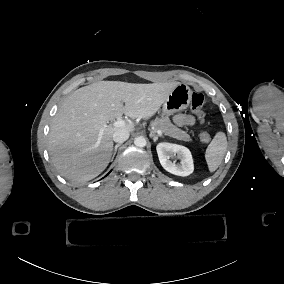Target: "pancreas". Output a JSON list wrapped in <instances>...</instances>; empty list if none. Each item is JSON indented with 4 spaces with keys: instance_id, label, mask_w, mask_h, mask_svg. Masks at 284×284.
<instances>
[{
    "instance_id": "pancreas-1",
    "label": "pancreas",
    "mask_w": 284,
    "mask_h": 284,
    "mask_svg": "<svg viewBox=\"0 0 284 284\" xmlns=\"http://www.w3.org/2000/svg\"><path fill=\"white\" fill-rule=\"evenodd\" d=\"M151 128H154L155 131H162L165 135L177 140H182L184 142H192L193 140L186 131L174 125L168 116L153 121L151 123Z\"/></svg>"
}]
</instances>
